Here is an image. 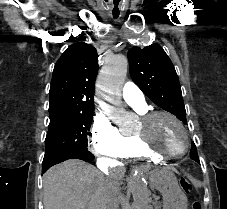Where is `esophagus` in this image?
Segmentation results:
<instances>
[{"instance_id":"obj_1","label":"esophagus","mask_w":227,"mask_h":209,"mask_svg":"<svg viewBox=\"0 0 227 209\" xmlns=\"http://www.w3.org/2000/svg\"><path fill=\"white\" fill-rule=\"evenodd\" d=\"M150 170H151V167L149 165L140 167L141 174H148Z\"/></svg>"}]
</instances>
